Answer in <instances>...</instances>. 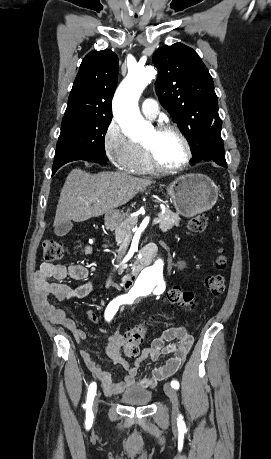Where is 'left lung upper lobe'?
Segmentation results:
<instances>
[{
  "label": "left lung upper lobe",
  "mask_w": 271,
  "mask_h": 459,
  "mask_svg": "<svg viewBox=\"0 0 271 459\" xmlns=\"http://www.w3.org/2000/svg\"><path fill=\"white\" fill-rule=\"evenodd\" d=\"M153 63L159 71L158 98L188 140L191 163L199 162L222 129L212 77L198 54L182 43L160 47Z\"/></svg>",
  "instance_id": "obj_1"
}]
</instances>
